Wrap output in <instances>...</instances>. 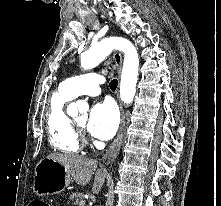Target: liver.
Returning <instances> with one entry per match:
<instances>
[{
  "label": "liver",
  "mask_w": 221,
  "mask_h": 206,
  "mask_svg": "<svg viewBox=\"0 0 221 206\" xmlns=\"http://www.w3.org/2000/svg\"><path fill=\"white\" fill-rule=\"evenodd\" d=\"M48 158L56 160L63 164L68 174L79 185H86L87 183H89L92 174L97 170L98 162L89 158L63 154H52L49 155ZM106 175L107 174L104 170H97L92 187L93 193H99L105 181Z\"/></svg>",
  "instance_id": "obj_1"
}]
</instances>
